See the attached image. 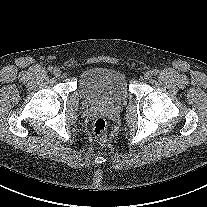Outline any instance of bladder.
Masks as SVG:
<instances>
[{"label":"bladder","mask_w":207,"mask_h":207,"mask_svg":"<svg viewBox=\"0 0 207 207\" xmlns=\"http://www.w3.org/2000/svg\"><path fill=\"white\" fill-rule=\"evenodd\" d=\"M82 97L96 104H116L129 94L125 74L112 67H94L86 70L79 81Z\"/></svg>","instance_id":"obj_1"}]
</instances>
